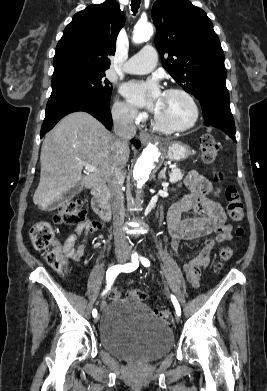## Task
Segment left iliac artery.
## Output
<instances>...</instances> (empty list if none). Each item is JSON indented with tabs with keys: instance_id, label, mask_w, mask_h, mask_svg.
<instances>
[{
	"instance_id": "left-iliac-artery-1",
	"label": "left iliac artery",
	"mask_w": 267,
	"mask_h": 391,
	"mask_svg": "<svg viewBox=\"0 0 267 391\" xmlns=\"http://www.w3.org/2000/svg\"><path fill=\"white\" fill-rule=\"evenodd\" d=\"M140 259H141L142 264H143L145 267L150 266V262H149L148 259H146V258H144V257H141ZM171 300H172V302H173V305H174V307H175V310H176L177 315L180 316V315H181V308H180V305H179L177 299L175 298V296L171 295Z\"/></svg>"
}]
</instances>
